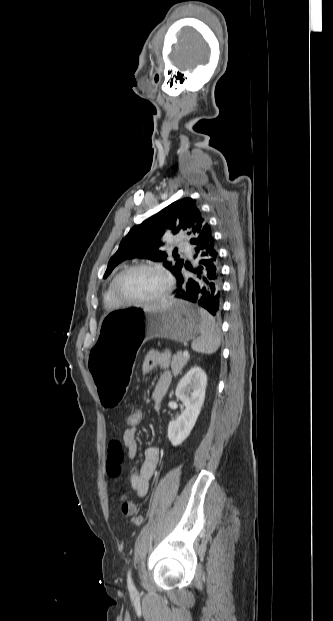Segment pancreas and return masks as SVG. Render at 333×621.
Returning a JSON list of instances; mask_svg holds the SVG:
<instances>
[{"label":"pancreas","instance_id":"obj_1","mask_svg":"<svg viewBox=\"0 0 333 621\" xmlns=\"http://www.w3.org/2000/svg\"><path fill=\"white\" fill-rule=\"evenodd\" d=\"M189 358H186L182 355V352H177L176 354H174V356L172 357V361H171V370L174 374V376L178 375L182 368L187 364Z\"/></svg>","mask_w":333,"mask_h":621}]
</instances>
